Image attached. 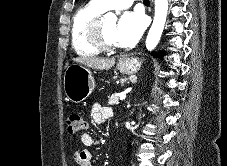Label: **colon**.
Segmentation results:
<instances>
[{"label": "colon", "instance_id": "obj_1", "mask_svg": "<svg viewBox=\"0 0 227 166\" xmlns=\"http://www.w3.org/2000/svg\"><path fill=\"white\" fill-rule=\"evenodd\" d=\"M86 128V122L79 113H70L67 117V131L70 135L77 134Z\"/></svg>", "mask_w": 227, "mask_h": 166}]
</instances>
